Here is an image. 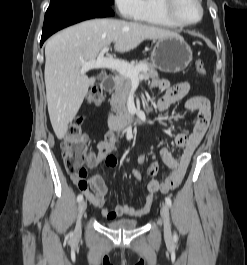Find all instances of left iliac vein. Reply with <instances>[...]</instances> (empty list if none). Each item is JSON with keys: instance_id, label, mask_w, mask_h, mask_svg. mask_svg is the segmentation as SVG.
I'll return each mask as SVG.
<instances>
[{"instance_id": "obj_1", "label": "left iliac vein", "mask_w": 247, "mask_h": 265, "mask_svg": "<svg viewBox=\"0 0 247 265\" xmlns=\"http://www.w3.org/2000/svg\"><path fill=\"white\" fill-rule=\"evenodd\" d=\"M163 223H164V233L166 237L171 236V226L169 218V210L166 204H163L160 211Z\"/></svg>"}]
</instances>
